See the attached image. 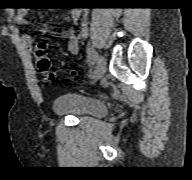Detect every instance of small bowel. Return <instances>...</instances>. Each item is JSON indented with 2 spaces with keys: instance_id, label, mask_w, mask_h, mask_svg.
<instances>
[{
  "instance_id": "small-bowel-1",
  "label": "small bowel",
  "mask_w": 192,
  "mask_h": 180,
  "mask_svg": "<svg viewBox=\"0 0 192 180\" xmlns=\"http://www.w3.org/2000/svg\"><path fill=\"white\" fill-rule=\"evenodd\" d=\"M27 11L25 9H20L16 13L15 20L18 24L23 25L27 23L26 20ZM72 21L77 24L79 23V30L77 33L73 34L69 38L68 50L71 54H76L79 50L80 41L88 37V12L81 10L79 8H74L71 11ZM23 43L31 47L33 44L32 36L28 33H23L21 35Z\"/></svg>"
}]
</instances>
